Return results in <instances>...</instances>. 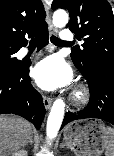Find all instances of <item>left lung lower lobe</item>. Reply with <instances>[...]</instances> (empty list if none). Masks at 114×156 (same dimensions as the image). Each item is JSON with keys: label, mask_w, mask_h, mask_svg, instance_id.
<instances>
[{"label": "left lung lower lobe", "mask_w": 114, "mask_h": 156, "mask_svg": "<svg viewBox=\"0 0 114 156\" xmlns=\"http://www.w3.org/2000/svg\"><path fill=\"white\" fill-rule=\"evenodd\" d=\"M83 76L89 84L90 102L78 113H66L61 128L73 120L85 118H98L114 125V71L95 70Z\"/></svg>", "instance_id": "left-lung-lower-lobe-1"}]
</instances>
